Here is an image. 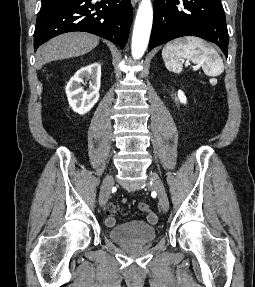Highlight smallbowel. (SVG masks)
Here are the masks:
<instances>
[{
  "instance_id": "obj_1",
  "label": "small bowel",
  "mask_w": 255,
  "mask_h": 287,
  "mask_svg": "<svg viewBox=\"0 0 255 287\" xmlns=\"http://www.w3.org/2000/svg\"><path fill=\"white\" fill-rule=\"evenodd\" d=\"M121 203L122 204H126L127 203V199L126 198H122L121 199ZM118 213V206L116 203H110L107 208H106V220H105V224L108 226V227H113L115 226L116 224V221H115V216L117 215ZM146 221L149 223V224H156L158 222V216L152 212V213H148L146 215Z\"/></svg>"
}]
</instances>
